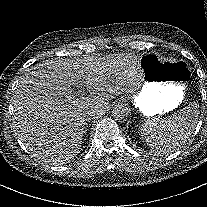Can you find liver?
<instances>
[{"mask_svg":"<svg viewBox=\"0 0 207 207\" xmlns=\"http://www.w3.org/2000/svg\"><path fill=\"white\" fill-rule=\"evenodd\" d=\"M82 79L97 87L93 66L73 61H45L21 78L12 129L30 151L44 147L48 154H73L79 148L85 119L96 110L95 99L71 89Z\"/></svg>","mask_w":207,"mask_h":207,"instance_id":"liver-1","label":"liver"}]
</instances>
